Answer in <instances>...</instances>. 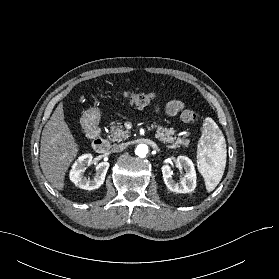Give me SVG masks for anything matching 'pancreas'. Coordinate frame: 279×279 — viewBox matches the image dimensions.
Masks as SVG:
<instances>
[{
  "mask_svg": "<svg viewBox=\"0 0 279 279\" xmlns=\"http://www.w3.org/2000/svg\"><path fill=\"white\" fill-rule=\"evenodd\" d=\"M152 127L157 129L156 138H158L159 141L163 143H169L175 146L179 144H183V145L189 144V140L183 141L180 138L176 139V137L174 136L176 131L173 128H164L160 125H156L155 123ZM128 137H129V131L125 130L123 128V125L120 122L112 123L110 127V134L108 136V138L112 142H120L126 140Z\"/></svg>",
  "mask_w": 279,
  "mask_h": 279,
  "instance_id": "pancreas-1",
  "label": "pancreas"
}]
</instances>
